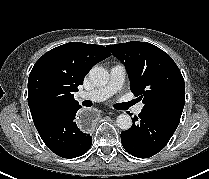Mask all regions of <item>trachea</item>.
<instances>
[{
    "label": "trachea",
    "instance_id": "obj_1",
    "mask_svg": "<svg viewBox=\"0 0 209 179\" xmlns=\"http://www.w3.org/2000/svg\"><path fill=\"white\" fill-rule=\"evenodd\" d=\"M133 104H134V102L131 101V102L127 103L126 106H127V107H130V106L133 105Z\"/></svg>",
    "mask_w": 209,
    "mask_h": 179
}]
</instances>
